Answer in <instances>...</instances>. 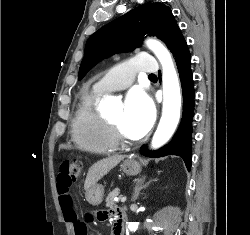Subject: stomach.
<instances>
[{
    "label": "stomach",
    "mask_w": 250,
    "mask_h": 235,
    "mask_svg": "<svg viewBox=\"0 0 250 235\" xmlns=\"http://www.w3.org/2000/svg\"><path fill=\"white\" fill-rule=\"evenodd\" d=\"M121 170L129 176H135L140 172L141 166L137 161L129 158L123 161ZM103 195V186L95 184L87 191L86 198L91 205H99L102 202Z\"/></svg>",
    "instance_id": "obj_1"
}]
</instances>
